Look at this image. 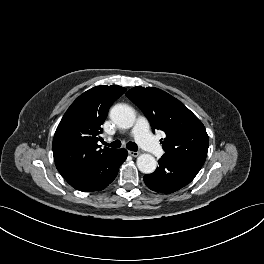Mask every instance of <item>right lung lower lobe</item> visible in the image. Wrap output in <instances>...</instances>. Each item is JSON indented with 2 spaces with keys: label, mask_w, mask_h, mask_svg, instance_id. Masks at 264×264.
<instances>
[{
  "label": "right lung lower lobe",
  "mask_w": 264,
  "mask_h": 264,
  "mask_svg": "<svg viewBox=\"0 0 264 264\" xmlns=\"http://www.w3.org/2000/svg\"><path fill=\"white\" fill-rule=\"evenodd\" d=\"M127 154L125 149H114L90 166L65 177V180L82 192L101 191L115 179Z\"/></svg>",
  "instance_id": "right-lung-lower-lobe-1"
}]
</instances>
